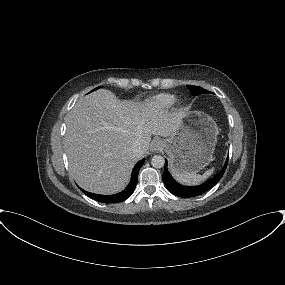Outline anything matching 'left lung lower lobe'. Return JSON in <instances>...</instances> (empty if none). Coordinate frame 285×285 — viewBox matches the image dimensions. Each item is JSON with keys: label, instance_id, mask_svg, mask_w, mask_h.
Segmentation results:
<instances>
[{"label": "left lung lower lobe", "instance_id": "left-lung-lower-lobe-1", "mask_svg": "<svg viewBox=\"0 0 285 285\" xmlns=\"http://www.w3.org/2000/svg\"><path fill=\"white\" fill-rule=\"evenodd\" d=\"M228 164V158L226 160V163L224 165V167L222 168V170L215 175L213 178L209 179L208 181L204 182L203 184L199 185V186H183L179 183H177L173 177L171 176V174L169 173L168 169H167V161L165 160V167H164V173L162 176V180L164 182V184L166 185L167 189L174 195L179 196V197H183V198H189V197H194V196H198L204 192H206L207 190H209L210 188H212L223 176L226 167Z\"/></svg>", "mask_w": 285, "mask_h": 285}]
</instances>
